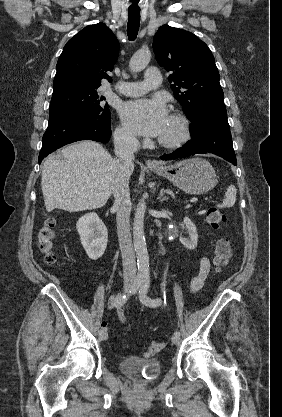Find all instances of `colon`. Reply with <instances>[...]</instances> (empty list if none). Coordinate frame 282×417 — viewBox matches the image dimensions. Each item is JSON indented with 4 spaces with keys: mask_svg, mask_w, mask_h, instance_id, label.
<instances>
[{
    "mask_svg": "<svg viewBox=\"0 0 282 417\" xmlns=\"http://www.w3.org/2000/svg\"><path fill=\"white\" fill-rule=\"evenodd\" d=\"M206 220L214 228H220L227 223L226 214L219 209L210 208L206 211ZM56 224L53 219H46L37 235V247L46 263L52 264L56 259L55 232ZM232 256V246L227 238H219L214 245L213 266L220 270L226 267ZM163 349V343L151 342L144 350L147 358L155 357Z\"/></svg>",
    "mask_w": 282,
    "mask_h": 417,
    "instance_id": "1",
    "label": "colon"
}]
</instances>
